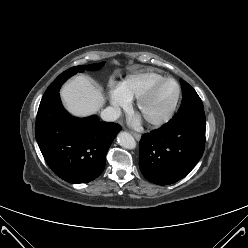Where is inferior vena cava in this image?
Returning <instances> with one entry per match:
<instances>
[{
  "mask_svg": "<svg viewBox=\"0 0 248 248\" xmlns=\"http://www.w3.org/2000/svg\"><path fill=\"white\" fill-rule=\"evenodd\" d=\"M104 121H116L120 117V111L114 107H107L100 114Z\"/></svg>",
  "mask_w": 248,
  "mask_h": 248,
  "instance_id": "obj_1",
  "label": "inferior vena cava"
}]
</instances>
